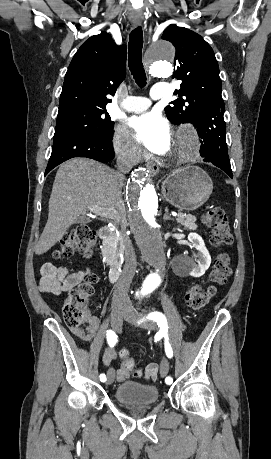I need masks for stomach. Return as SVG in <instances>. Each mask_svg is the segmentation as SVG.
<instances>
[{
    "label": "stomach",
    "instance_id": "obj_1",
    "mask_svg": "<svg viewBox=\"0 0 271 459\" xmlns=\"http://www.w3.org/2000/svg\"><path fill=\"white\" fill-rule=\"evenodd\" d=\"M161 190L164 200L171 206L181 210H197L209 200L213 182L201 168L188 166V168L174 170L162 182Z\"/></svg>",
    "mask_w": 271,
    "mask_h": 459
}]
</instances>
